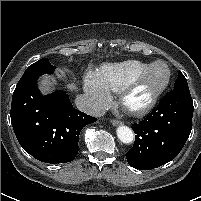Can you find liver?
Returning a JSON list of instances; mask_svg holds the SVG:
<instances>
[{
	"label": "liver",
	"instance_id": "1",
	"mask_svg": "<svg viewBox=\"0 0 201 201\" xmlns=\"http://www.w3.org/2000/svg\"><path fill=\"white\" fill-rule=\"evenodd\" d=\"M54 80L49 77H43L40 81V88L44 93H48L53 89ZM71 89H75L74 85L70 86Z\"/></svg>",
	"mask_w": 201,
	"mask_h": 201
}]
</instances>
